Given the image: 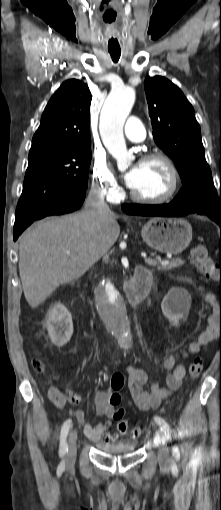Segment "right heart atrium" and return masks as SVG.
Returning a JSON list of instances; mask_svg holds the SVG:
<instances>
[{
    "label": "right heart atrium",
    "mask_w": 221,
    "mask_h": 510,
    "mask_svg": "<svg viewBox=\"0 0 221 510\" xmlns=\"http://www.w3.org/2000/svg\"><path fill=\"white\" fill-rule=\"evenodd\" d=\"M91 181L93 189L109 201L115 200L120 187L115 173L101 154H95L91 166Z\"/></svg>",
    "instance_id": "d8ad5b80"
}]
</instances>
